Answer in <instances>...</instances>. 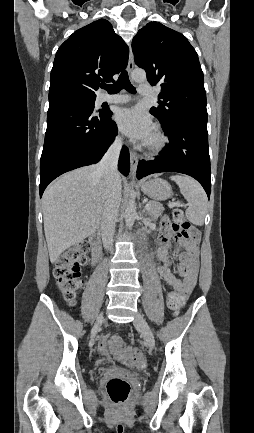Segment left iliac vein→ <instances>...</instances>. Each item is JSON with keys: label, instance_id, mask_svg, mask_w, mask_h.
<instances>
[{"label": "left iliac vein", "instance_id": "4c4485c4", "mask_svg": "<svg viewBox=\"0 0 254 433\" xmlns=\"http://www.w3.org/2000/svg\"><path fill=\"white\" fill-rule=\"evenodd\" d=\"M133 324L142 333L146 344L153 348L155 346L154 335L145 318L140 313H137Z\"/></svg>", "mask_w": 254, "mask_h": 433}]
</instances>
